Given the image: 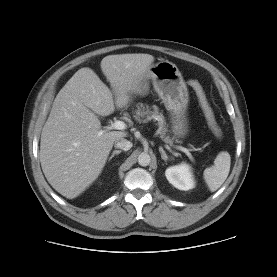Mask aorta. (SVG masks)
<instances>
[{
	"label": "aorta",
	"mask_w": 277,
	"mask_h": 277,
	"mask_svg": "<svg viewBox=\"0 0 277 277\" xmlns=\"http://www.w3.org/2000/svg\"><path fill=\"white\" fill-rule=\"evenodd\" d=\"M151 158L150 155L146 152H142L138 156V163L141 166H148L150 164Z\"/></svg>",
	"instance_id": "aorta-1"
}]
</instances>
